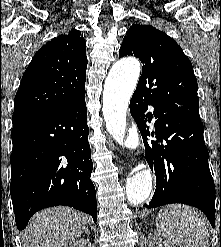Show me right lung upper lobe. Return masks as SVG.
<instances>
[{
    "instance_id": "1",
    "label": "right lung upper lobe",
    "mask_w": 221,
    "mask_h": 247,
    "mask_svg": "<svg viewBox=\"0 0 221 247\" xmlns=\"http://www.w3.org/2000/svg\"><path fill=\"white\" fill-rule=\"evenodd\" d=\"M86 42L72 29L43 45L22 76L13 119L67 106L85 96Z\"/></svg>"
}]
</instances>
